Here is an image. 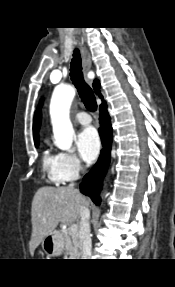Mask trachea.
<instances>
[{
	"instance_id": "1",
	"label": "trachea",
	"mask_w": 175,
	"mask_h": 287,
	"mask_svg": "<svg viewBox=\"0 0 175 287\" xmlns=\"http://www.w3.org/2000/svg\"><path fill=\"white\" fill-rule=\"evenodd\" d=\"M70 76L73 84L77 88L79 96L84 103L85 107L90 111H96L97 103L93 90L84 81L81 57L78 49L74 50L73 59L71 61Z\"/></svg>"
}]
</instances>
